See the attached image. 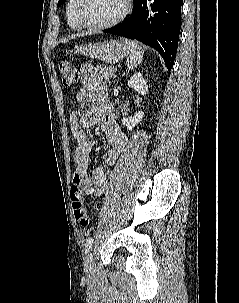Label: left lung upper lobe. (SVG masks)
I'll return each instance as SVG.
<instances>
[{
    "label": "left lung upper lobe",
    "mask_w": 239,
    "mask_h": 303,
    "mask_svg": "<svg viewBox=\"0 0 239 303\" xmlns=\"http://www.w3.org/2000/svg\"><path fill=\"white\" fill-rule=\"evenodd\" d=\"M65 0H59L58 5H61Z\"/></svg>",
    "instance_id": "obj_1"
}]
</instances>
